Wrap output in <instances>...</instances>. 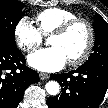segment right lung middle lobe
Listing matches in <instances>:
<instances>
[{
	"label": "right lung middle lobe",
	"mask_w": 108,
	"mask_h": 108,
	"mask_svg": "<svg viewBox=\"0 0 108 108\" xmlns=\"http://www.w3.org/2000/svg\"><path fill=\"white\" fill-rule=\"evenodd\" d=\"M24 4L16 0L0 1V44L16 46L15 28L22 18Z\"/></svg>",
	"instance_id": "dd1d6c3e"
}]
</instances>
